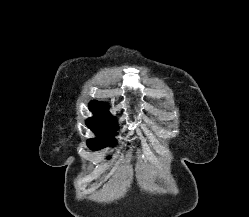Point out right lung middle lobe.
Masks as SVG:
<instances>
[{
    "instance_id": "obj_1",
    "label": "right lung middle lobe",
    "mask_w": 249,
    "mask_h": 217,
    "mask_svg": "<svg viewBox=\"0 0 249 217\" xmlns=\"http://www.w3.org/2000/svg\"><path fill=\"white\" fill-rule=\"evenodd\" d=\"M86 124L97 134L96 138L87 141L90 149L99 150L109 145L113 146L114 141L112 139L118 127L114 119L95 114L94 117L86 120Z\"/></svg>"
}]
</instances>
